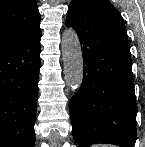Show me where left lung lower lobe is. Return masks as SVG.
Segmentation results:
<instances>
[{"label":"left lung lower lobe","instance_id":"1","mask_svg":"<svg viewBox=\"0 0 145 147\" xmlns=\"http://www.w3.org/2000/svg\"><path fill=\"white\" fill-rule=\"evenodd\" d=\"M66 26L79 36L85 65L81 87L70 102L76 143L133 147L137 106L121 14L107 0H73Z\"/></svg>","mask_w":145,"mask_h":147}]
</instances>
